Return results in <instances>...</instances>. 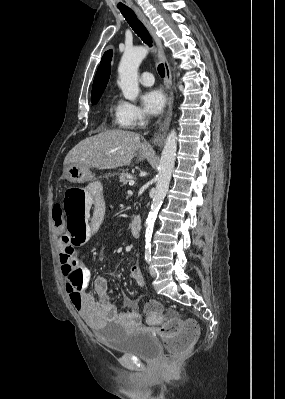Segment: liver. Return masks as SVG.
<instances>
[{
    "mask_svg": "<svg viewBox=\"0 0 285 399\" xmlns=\"http://www.w3.org/2000/svg\"><path fill=\"white\" fill-rule=\"evenodd\" d=\"M140 148L152 151L133 131L106 130L73 147L64 159V166L75 164L99 169L122 167L131 163Z\"/></svg>",
    "mask_w": 285,
    "mask_h": 399,
    "instance_id": "liver-1",
    "label": "liver"
}]
</instances>
